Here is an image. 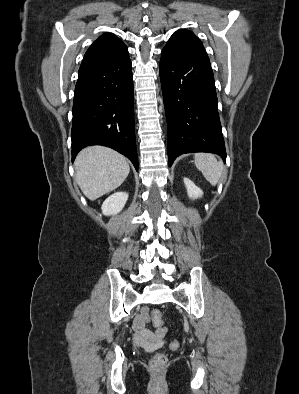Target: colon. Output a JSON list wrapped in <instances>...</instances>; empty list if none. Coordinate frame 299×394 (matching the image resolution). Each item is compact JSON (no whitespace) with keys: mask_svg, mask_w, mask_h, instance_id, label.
I'll return each instance as SVG.
<instances>
[{"mask_svg":"<svg viewBox=\"0 0 299 394\" xmlns=\"http://www.w3.org/2000/svg\"><path fill=\"white\" fill-rule=\"evenodd\" d=\"M152 318L156 324L162 325L161 321V313L158 310H153L152 311ZM171 347L172 348H177L178 347V342L173 341L171 342ZM167 362V357L163 353H157L149 361V366L152 369H158L163 367Z\"/></svg>","mask_w":299,"mask_h":394,"instance_id":"colon-1","label":"colon"}]
</instances>
